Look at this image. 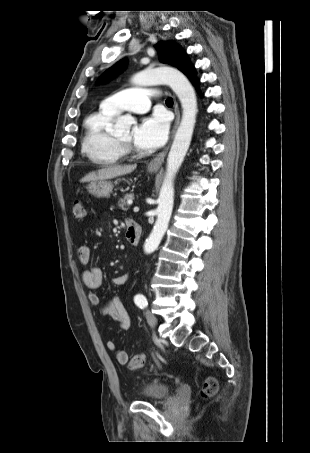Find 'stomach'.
Instances as JSON below:
<instances>
[{"instance_id":"obj_1","label":"stomach","mask_w":310,"mask_h":453,"mask_svg":"<svg viewBox=\"0 0 310 453\" xmlns=\"http://www.w3.org/2000/svg\"><path fill=\"white\" fill-rule=\"evenodd\" d=\"M158 169L157 168H148L149 172H156ZM88 192L96 197H106L108 196L112 189H113V184L110 181L107 180H98L91 182L88 186Z\"/></svg>"}]
</instances>
